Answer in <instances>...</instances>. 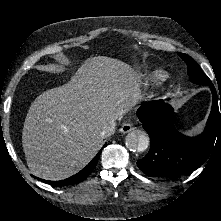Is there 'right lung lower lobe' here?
<instances>
[{"label": "right lung lower lobe", "instance_id": "obj_1", "mask_svg": "<svg viewBox=\"0 0 221 221\" xmlns=\"http://www.w3.org/2000/svg\"><path fill=\"white\" fill-rule=\"evenodd\" d=\"M100 154H101V150L97 153V155L90 161V163L87 166H85L81 171H79L78 173H76L75 175H73L67 179L60 180V181L43 180V182L48 183L53 186H57V187L78 184V183L84 181L92 173V171L94 170V168L97 165Z\"/></svg>", "mask_w": 221, "mask_h": 221}]
</instances>
